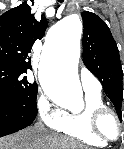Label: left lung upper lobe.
Here are the masks:
<instances>
[{
	"instance_id": "1",
	"label": "left lung upper lobe",
	"mask_w": 124,
	"mask_h": 149,
	"mask_svg": "<svg viewBox=\"0 0 124 149\" xmlns=\"http://www.w3.org/2000/svg\"><path fill=\"white\" fill-rule=\"evenodd\" d=\"M83 62L102 83L122 121L123 71L117 44L106 23L92 12H83Z\"/></svg>"
}]
</instances>
